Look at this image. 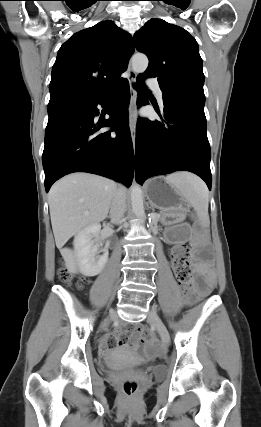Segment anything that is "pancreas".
Returning a JSON list of instances; mask_svg holds the SVG:
<instances>
[{
  "label": "pancreas",
  "instance_id": "pancreas-1",
  "mask_svg": "<svg viewBox=\"0 0 261 427\" xmlns=\"http://www.w3.org/2000/svg\"><path fill=\"white\" fill-rule=\"evenodd\" d=\"M156 218H157V219H158V218H160V215H157V216H156Z\"/></svg>",
  "mask_w": 261,
  "mask_h": 427
}]
</instances>
